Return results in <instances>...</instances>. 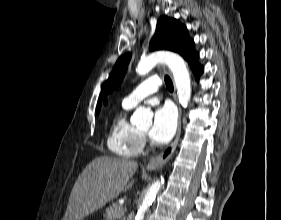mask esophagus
Returning a JSON list of instances; mask_svg holds the SVG:
<instances>
[{
  "label": "esophagus",
  "instance_id": "34e87169",
  "mask_svg": "<svg viewBox=\"0 0 281 220\" xmlns=\"http://www.w3.org/2000/svg\"><path fill=\"white\" fill-rule=\"evenodd\" d=\"M165 71L170 74V71H169L168 68H165ZM174 97H175V100L177 102L178 109H179L178 129H177L176 137H175L174 141L162 153H160L159 155L155 156L154 158H152L150 160V162L147 165V169L150 170V171L159 169L166 162L169 161V159L172 157V155H173V153H174V151L177 147V144H178V141H179V138H180V135H181V115H182V111H181V108H180L179 103H178L177 93H176L175 89H174Z\"/></svg>",
  "mask_w": 281,
  "mask_h": 220
}]
</instances>
